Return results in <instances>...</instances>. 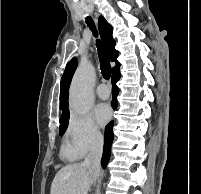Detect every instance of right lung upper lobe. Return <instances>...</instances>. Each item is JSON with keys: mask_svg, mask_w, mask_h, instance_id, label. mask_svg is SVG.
Listing matches in <instances>:
<instances>
[{"mask_svg": "<svg viewBox=\"0 0 201 194\" xmlns=\"http://www.w3.org/2000/svg\"><path fill=\"white\" fill-rule=\"evenodd\" d=\"M98 27L100 31L101 38L107 50L108 56L111 61L116 63V66L113 68L112 72L119 70L120 63L117 61L119 55L118 51L115 50V40L112 37L113 28L102 16L99 17ZM77 67V59L72 58L66 65L64 74L61 79V90H60V109L62 110V118L69 117L68 110V89L72 79V76Z\"/></svg>", "mask_w": 201, "mask_h": 194, "instance_id": "cb5924a9", "label": "right lung upper lobe"}]
</instances>
